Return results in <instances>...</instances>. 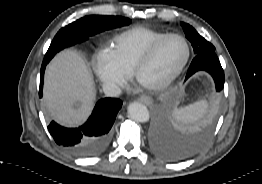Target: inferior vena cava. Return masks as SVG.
I'll return each mask as SVG.
<instances>
[{"mask_svg":"<svg viewBox=\"0 0 262 184\" xmlns=\"http://www.w3.org/2000/svg\"><path fill=\"white\" fill-rule=\"evenodd\" d=\"M103 91L108 97H117L121 94V88L112 82L106 83L103 85Z\"/></svg>","mask_w":262,"mask_h":184,"instance_id":"inferior-vena-cava-1","label":"inferior vena cava"}]
</instances>
